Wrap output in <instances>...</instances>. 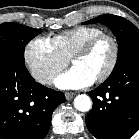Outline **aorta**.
<instances>
[{"label": "aorta", "mask_w": 139, "mask_h": 139, "mask_svg": "<svg viewBox=\"0 0 139 139\" xmlns=\"http://www.w3.org/2000/svg\"><path fill=\"white\" fill-rule=\"evenodd\" d=\"M74 107L81 112H87L92 108V101L86 94L78 95L74 99Z\"/></svg>", "instance_id": "762f6f07"}]
</instances>
